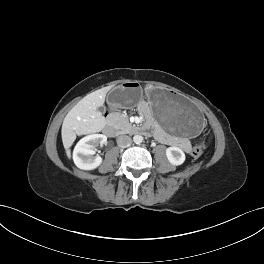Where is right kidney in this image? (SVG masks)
Returning <instances> with one entry per match:
<instances>
[{"label": "right kidney", "mask_w": 264, "mask_h": 264, "mask_svg": "<svg viewBox=\"0 0 264 264\" xmlns=\"http://www.w3.org/2000/svg\"><path fill=\"white\" fill-rule=\"evenodd\" d=\"M107 137L102 134H91L82 138L75 146L73 160L75 165L82 170L96 169L102 163V158L95 154V147L104 144Z\"/></svg>", "instance_id": "1"}]
</instances>
